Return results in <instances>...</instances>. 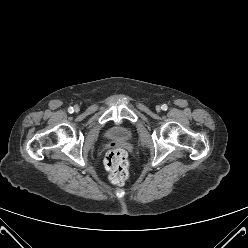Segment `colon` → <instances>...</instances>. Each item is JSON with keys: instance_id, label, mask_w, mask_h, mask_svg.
<instances>
[{"instance_id": "colon-1", "label": "colon", "mask_w": 248, "mask_h": 248, "mask_svg": "<svg viewBox=\"0 0 248 248\" xmlns=\"http://www.w3.org/2000/svg\"><path fill=\"white\" fill-rule=\"evenodd\" d=\"M105 166L113 183L122 184L127 180L129 170L127 155L124 150L120 148L111 149L105 157Z\"/></svg>"}]
</instances>
